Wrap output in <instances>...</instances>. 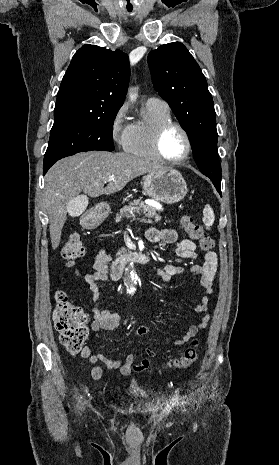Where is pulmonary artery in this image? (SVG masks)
Returning <instances> with one entry per match:
<instances>
[{"mask_svg": "<svg viewBox=\"0 0 279 465\" xmlns=\"http://www.w3.org/2000/svg\"><path fill=\"white\" fill-rule=\"evenodd\" d=\"M146 104H151V105H161V106H166L168 107L167 103L157 97H150Z\"/></svg>", "mask_w": 279, "mask_h": 465, "instance_id": "1", "label": "pulmonary artery"}]
</instances>
